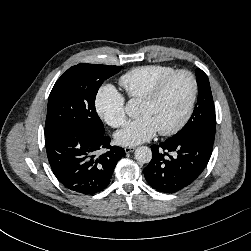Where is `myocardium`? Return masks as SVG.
Segmentation results:
<instances>
[{"label": "myocardium", "instance_id": "obj_1", "mask_svg": "<svg viewBox=\"0 0 251 251\" xmlns=\"http://www.w3.org/2000/svg\"><path fill=\"white\" fill-rule=\"evenodd\" d=\"M179 75H186L192 84V91L189 103L187 105V108L185 110V113L183 114L182 118L178 121L177 124H175L173 127L166 129V130H159L158 134L161 136H171L179 132L189 121L198 96V82L195 77V75L185 69L176 70L164 79H162L160 82H158L140 101L144 104H151L155 102L160 95L163 93V91L166 89V87L169 85V83L177 76Z\"/></svg>", "mask_w": 251, "mask_h": 251}]
</instances>
